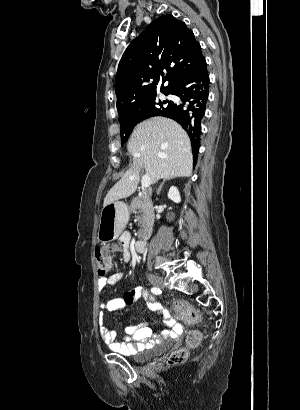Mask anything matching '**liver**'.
<instances>
[{
    "label": "liver",
    "instance_id": "liver-1",
    "mask_svg": "<svg viewBox=\"0 0 300 410\" xmlns=\"http://www.w3.org/2000/svg\"><path fill=\"white\" fill-rule=\"evenodd\" d=\"M127 149L133 156V166L109 190L104 206L131 196L137 189L141 169L151 183L169 177H189L193 156L190 138L175 121L153 117L133 130Z\"/></svg>",
    "mask_w": 300,
    "mask_h": 410
}]
</instances>
